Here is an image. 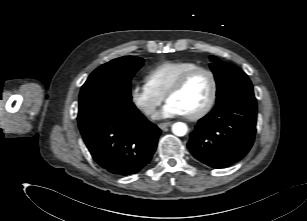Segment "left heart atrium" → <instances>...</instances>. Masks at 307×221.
Instances as JSON below:
<instances>
[{
    "label": "left heart atrium",
    "mask_w": 307,
    "mask_h": 221,
    "mask_svg": "<svg viewBox=\"0 0 307 221\" xmlns=\"http://www.w3.org/2000/svg\"><path fill=\"white\" fill-rule=\"evenodd\" d=\"M185 115L183 110L173 102H167L161 111L157 114V118H168Z\"/></svg>",
    "instance_id": "obj_1"
}]
</instances>
